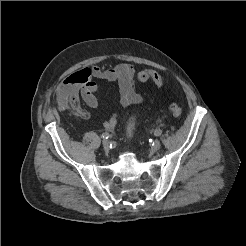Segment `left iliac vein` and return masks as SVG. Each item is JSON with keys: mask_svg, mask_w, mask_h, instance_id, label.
<instances>
[{"mask_svg": "<svg viewBox=\"0 0 246 246\" xmlns=\"http://www.w3.org/2000/svg\"><path fill=\"white\" fill-rule=\"evenodd\" d=\"M160 147H161L160 141L159 140H155L154 143H153V145H152V150L153 151H157V150L160 149Z\"/></svg>", "mask_w": 246, "mask_h": 246, "instance_id": "left-iliac-vein-1", "label": "left iliac vein"}]
</instances>
